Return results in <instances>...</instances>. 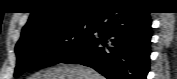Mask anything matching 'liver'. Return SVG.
<instances>
[{
  "instance_id": "1",
  "label": "liver",
  "mask_w": 177,
  "mask_h": 79,
  "mask_svg": "<svg viewBox=\"0 0 177 79\" xmlns=\"http://www.w3.org/2000/svg\"><path fill=\"white\" fill-rule=\"evenodd\" d=\"M29 79H104V77L86 66L59 64L52 68L40 70Z\"/></svg>"
}]
</instances>
